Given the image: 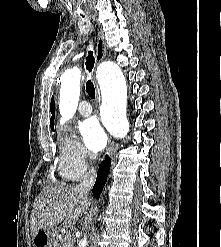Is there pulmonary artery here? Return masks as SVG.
<instances>
[{
	"label": "pulmonary artery",
	"instance_id": "pulmonary-artery-1",
	"mask_svg": "<svg viewBox=\"0 0 221 247\" xmlns=\"http://www.w3.org/2000/svg\"><path fill=\"white\" fill-rule=\"evenodd\" d=\"M79 112L83 116H88L92 113V108L87 100H83L80 102Z\"/></svg>",
	"mask_w": 221,
	"mask_h": 247
}]
</instances>
